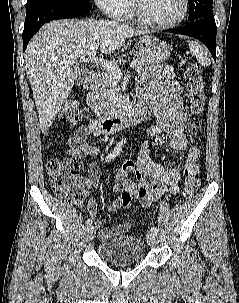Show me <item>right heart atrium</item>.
<instances>
[{
	"instance_id": "right-heart-atrium-1",
	"label": "right heart atrium",
	"mask_w": 239,
	"mask_h": 303,
	"mask_svg": "<svg viewBox=\"0 0 239 303\" xmlns=\"http://www.w3.org/2000/svg\"><path fill=\"white\" fill-rule=\"evenodd\" d=\"M97 6L112 18L122 17L129 6L128 0H94Z\"/></svg>"
}]
</instances>
